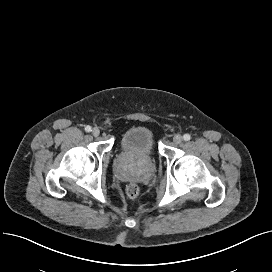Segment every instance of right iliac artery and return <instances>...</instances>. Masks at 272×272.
<instances>
[{"instance_id":"82829eb1","label":"right iliac artery","mask_w":272,"mask_h":272,"mask_svg":"<svg viewBox=\"0 0 272 272\" xmlns=\"http://www.w3.org/2000/svg\"><path fill=\"white\" fill-rule=\"evenodd\" d=\"M85 131H86V132H90V131H91V127H90V126H86V127H85Z\"/></svg>"}]
</instances>
